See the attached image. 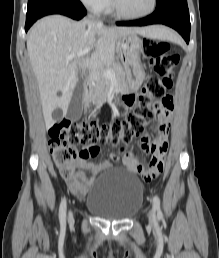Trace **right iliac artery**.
<instances>
[{
    "mask_svg": "<svg viewBox=\"0 0 219 258\" xmlns=\"http://www.w3.org/2000/svg\"><path fill=\"white\" fill-rule=\"evenodd\" d=\"M66 199L63 198L60 204V209H59V218L61 222H65L66 218Z\"/></svg>",
    "mask_w": 219,
    "mask_h": 258,
    "instance_id": "82829eb1",
    "label": "right iliac artery"
}]
</instances>
